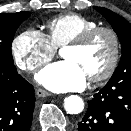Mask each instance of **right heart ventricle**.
I'll return each instance as SVG.
<instances>
[{
	"instance_id": "1",
	"label": "right heart ventricle",
	"mask_w": 131,
	"mask_h": 131,
	"mask_svg": "<svg viewBox=\"0 0 131 131\" xmlns=\"http://www.w3.org/2000/svg\"><path fill=\"white\" fill-rule=\"evenodd\" d=\"M97 26V22L85 16L69 13L46 23L47 38L55 49L64 47L84 31Z\"/></svg>"
}]
</instances>
